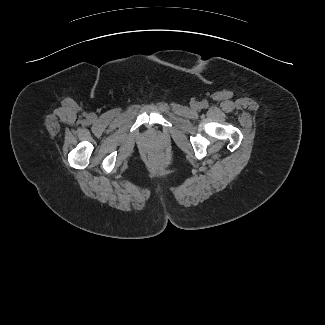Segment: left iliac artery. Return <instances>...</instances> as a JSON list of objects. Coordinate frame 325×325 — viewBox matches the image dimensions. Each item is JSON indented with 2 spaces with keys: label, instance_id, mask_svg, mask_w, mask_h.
I'll list each match as a JSON object with an SVG mask.
<instances>
[{
  "label": "left iliac artery",
  "instance_id": "44dca946",
  "mask_svg": "<svg viewBox=\"0 0 325 325\" xmlns=\"http://www.w3.org/2000/svg\"><path fill=\"white\" fill-rule=\"evenodd\" d=\"M207 106H208L207 102H205V101L202 102V107H203V108H206Z\"/></svg>",
  "mask_w": 325,
  "mask_h": 325
}]
</instances>
